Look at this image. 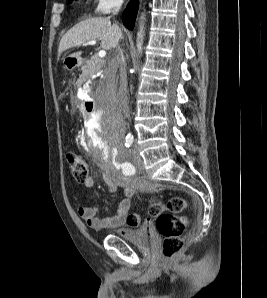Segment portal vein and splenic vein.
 Here are the masks:
<instances>
[{"instance_id":"portal-vein-and-splenic-vein-1","label":"portal vein and splenic vein","mask_w":267,"mask_h":298,"mask_svg":"<svg viewBox=\"0 0 267 298\" xmlns=\"http://www.w3.org/2000/svg\"><path fill=\"white\" fill-rule=\"evenodd\" d=\"M86 44L87 45H95L96 44V40L88 41ZM105 55H106V51L105 50H100L99 53H98V56L99 57H105Z\"/></svg>"}]
</instances>
